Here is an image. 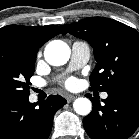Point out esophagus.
Masks as SVG:
<instances>
[{
  "mask_svg": "<svg viewBox=\"0 0 139 139\" xmlns=\"http://www.w3.org/2000/svg\"><path fill=\"white\" fill-rule=\"evenodd\" d=\"M75 98H76V96H74V95H67L66 96V100L68 103L72 102Z\"/></svg>",
  "mask_w": 139,
  "mask_h": 139,
  "instance_id": "esophagus-1",
  "label": "esophagus"
}]
</instances>
